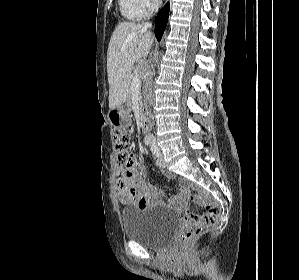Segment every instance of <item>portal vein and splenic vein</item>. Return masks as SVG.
Segmentation results:
<instances>
[{"instance_id": "1", "label": "portal vein and splenic vein", "mask_w": 299, "mask_h": 280, "mask_svg": "<svg viewBox=\"0 0 299 280\" xmlns=\"http://www.w3.org/2000/svg\"><path fill=\"white\" fill-rule=\"evenodd\" d=\"M141 88V81L139 78L134 77L131 83V92L137 94Z\"/></svg>"}]
</instances>
